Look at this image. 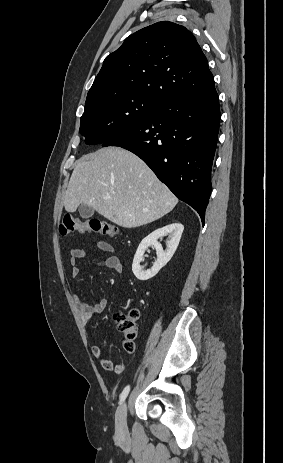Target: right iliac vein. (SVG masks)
I'll return each instance as SVG.
<instances>
[{
    "mask_svg": "<svg viewBox=\"0 0 283 463\" xmlns=\"http://www.w3.org/2000/svg\"><path fill=\"white\" fill-rule=\"evenodd\" d=\"M127 404L126 402L122 403L116 412L115 418V427L116 434L120 439H125L128 435V426H127Z\"/></svg>",
    "mask_w": 283,
    "mask_h": 463,
    "instance_id": "obj_1",
    "label": "right iliac vein"
}]
</instances>
